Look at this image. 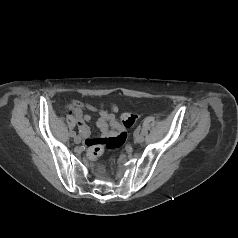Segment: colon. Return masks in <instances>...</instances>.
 I'll list each match as a JSON object with an SVG mask.
<instances>
[{
  "label": "colon",
  "mask_w": 238,
  "mask_h": 238,
  "mask_svg": "<svg viewBox=\"0 0 238 238\" xmlns=\"http://www.w3.org/2000/svg\"><path fill=\"white\" fill-rule=\"evenodd\" d=\"M118 119L123 127H130L136 122L137 115L124 111L119 114ZM126 134L127 131L122 129L118 136L100 140L96 145L89 149V157L91 159H95L103 153L105 148L115 149L120 147L126 140ZM102 168L103 167L100 166V169Z\"/></svg>",
  "instance_id": "colon-1"
}]
</instances>
